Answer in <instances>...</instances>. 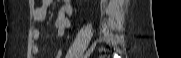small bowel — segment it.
Segmentation results:
<instances>
[{
    "label": "small bowel",
    "mask_w": 181,
    "mask_h": 58,
    "mask_svg": "<svg viewBox=\"0 0 181 58\" xmlns=\"http://www.w3.org/2000/svg\"><path fill=\"white\" fill-rule=\"evenodd\" d=\"M51 0H42L40 6L35 8L33 12V19L36 22H43L46 19L47 16V8L50 5ZM73 13V7L71 3H66L63 8L59 12V16L57 20L55 21V31L58 34V36L62 37L65 35L67 29L70 27V17ZM32 36L34 40H38L40 37V32L38 29H34L32 32ZM39 47L37 44H34L32 47V53L38 54L39 53ZM60 54V50L58 51V57Z\"/></svg>",
    "instance_id": "c3829d8e"
}]
</instances>
